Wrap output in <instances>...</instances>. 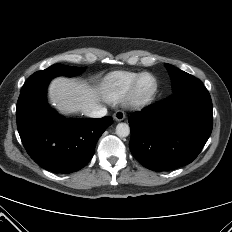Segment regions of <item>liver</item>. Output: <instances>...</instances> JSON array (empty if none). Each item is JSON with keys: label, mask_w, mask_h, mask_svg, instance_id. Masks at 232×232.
Wrapping results in <instances>:
<instances>
[{"label": "liver", "mask_w": 232, "mask_h": 232, "mask_svg": "<svg viewBox=\"0 0 232 232\" xmlns=\"http://www.w3.org/2000/svg\"><path fill=\"white\" fill-rule=\"evenodd\" d=\"M49 99L62 114L76 112L85 113L86 110L98 105V95L82 81L66 77H57L49 86Z\"/></svg>", "instance_id": "1"}]
</instances>
